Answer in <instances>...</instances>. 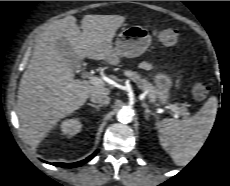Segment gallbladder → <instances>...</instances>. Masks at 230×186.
<instances>
[{"instance_id":"1","label":"gallbladder","mask_w":230,"mask_h":186,"mask_svg":"<svg viewBox=\"0 0 230 186\" xmlns=\"http://www.w3.org/2000/svg\"><path fill=\"white\" fill-rule=\"evenodd\" d=\"M59 47L63 50V53L67 57H69L71 60H73V58L71 57L70 47L66 41H61Z\"/></svg>"}]
</instances>
